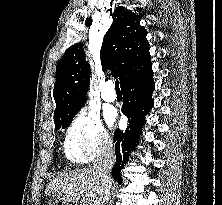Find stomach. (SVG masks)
I'll return each mask as SVG.
<instances>
[{
  "label": "stomach",
  "mask_w": 222,
  "mask_h": 205,
  "mask_svg": "<svg viewBox=\"0 0 222 205\" xmlns=\"http://www.w3.org/2000/svg\"><path fill=\"white\" fill-rule=\"evenodd\" d=\"M54 205H66V203L62 202L61 200H57Z\"/></svg>",
  "instance_id": "1"
}]
</instances>
